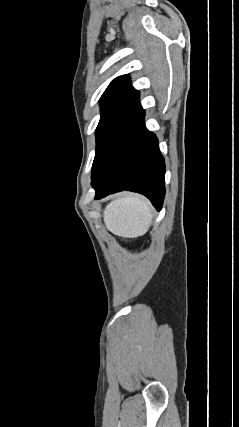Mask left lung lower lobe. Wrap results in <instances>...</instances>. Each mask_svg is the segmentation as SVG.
Returning <instances> with one entry per match:
<instances>
[{
    "label": "left lung lower lobe",
    "mask_w": 239,
    "mask_h": 427,
    "mask_svg": "<svg viewBox=\"0 0 239 427\" xmlns=\"http://www.w3.org/2000/svg\"><path fill=\"white\" fill-rule=\"evenodd\" d=\"M144 110L109 141L92 170L95 199L130 190L148 197L161 210L165 196V163L156 136L144 124Z\"/></svg>",
    "instance_id": "left-lung-lower-lobe-1"
}]
</instances>
